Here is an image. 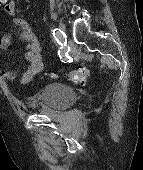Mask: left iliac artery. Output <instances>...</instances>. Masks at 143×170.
<instances>
[{
    "mask_svg": "<svg viewBox=\"0 0 143 170\" xmlns=\"http://www.w3.org/2000/svg\"><path fill=\"white\" fill-rule=\"evenodd\" d=\"M52 34L58 44L65 45L67 43L66 34L62 30L58 28H53Z\"/></svg>",
    "mask_w": 143,
    "mask_h": 170,
    "instance_id": "left-iliac-artery-1",
    "label": "left iliac artery"
}]
</instances>
